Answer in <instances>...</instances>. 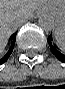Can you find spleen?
Returning a JSON list of instances; mask_svg holds the SVG:
<instances>
[{"instance_id":"1","label":"spleen","mask_w":65,"mask_h":89,"mask_svg":"<svg viewBox=\"0 0 65 89\" xmlns=\"http://www.w3.org/2000/svg\"><path fill=\"white\" fill-rule=\"evenodd\" d=\"M55 38H56L58 47L61 49L62 52H64L65 51V32H64V29L59 27L55 32Z\"/></svg>"}]
</instances>
